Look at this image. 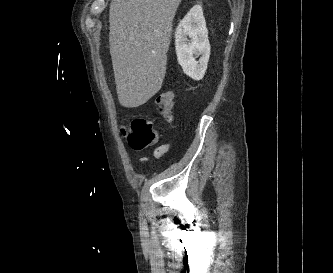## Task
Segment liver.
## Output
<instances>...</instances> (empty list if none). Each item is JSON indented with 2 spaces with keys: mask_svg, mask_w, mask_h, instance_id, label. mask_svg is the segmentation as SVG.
Instances as JSON below:
<instances>
[{
  "mask_svg": "<svg viewBox=\"0 0 333 273\" xmlns=\"http://www.w3.org/2000/svg\"><path fill=\"white\" fill-rule=\"evenodd\" d=\"M181 0H112L109 44L119 103L145 104L166 74L173 19Z\"/></svg>",
  "mask_w": 333,
  "mask_h": 273,
  "instance_id": "1",
  "label": "liver"
}]
</instances>
